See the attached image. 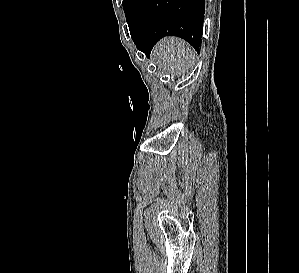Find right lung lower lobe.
I'll return each mask as SVG.
<instances>
[{
  "mask_svg": "<svg viewBox=\"0 0 299 273\" xmlns=\"http://www.w3.org/2000/svg\"><path fill=\"white\" fill-rule=\"evenodd\" d=\"M205 0H135L127 19L137 48L150 56L164 36H179L199 52Z\"/></svg>",
  "mask_w": 299,
  "mask_h": 273,
  "instance_id": "obj_1",
  "label": "right lung lower lobe"
}]
</instances>
